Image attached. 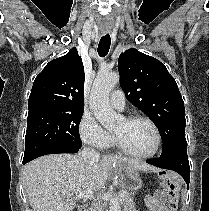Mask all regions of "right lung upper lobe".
Segmentation results:
<instances>
[{
    "label": "right lung upper lobe",
    "instance_id": "cb5924a9",
    "mask_svg": "<svg viewBox=\"0 0 209 211\" xmlns=\"http://www.w3.org/2000/svg\"><path fill=\"white\" fill-rule=\"evenodd\" d=\"M28 108L29 114L84 111V67L75 47L50 61L37 75Z\"/></svg>",
    "mask_w": 209,
    "mask_h": 211
}]
</instances>
